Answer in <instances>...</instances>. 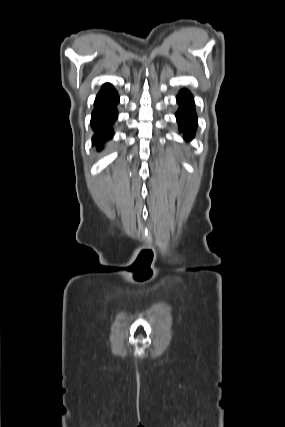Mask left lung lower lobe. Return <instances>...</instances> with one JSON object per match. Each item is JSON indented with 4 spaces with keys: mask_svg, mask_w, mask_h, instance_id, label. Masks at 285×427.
Here are the masks:
<instances>
[{
    "mask_svg": "<svg viewBox=\"0 0 285 427\" xmlns=\"http://www.w3.org/2000/svg\"><path fill=\"white\" fill-rule=\"evenodd\" d=\"M177 101L179 110L176 117L180 124V129L184 133V138L188 140L193 137L197 126L193 97L187 90H182Z\"/></svg>",
    "mask_w": 285,
    "mask_h": 427,
    "instance_id": "1",
    "label": "left lung lower lobe"
}]
</instances>
